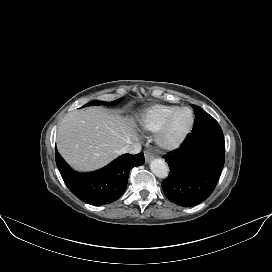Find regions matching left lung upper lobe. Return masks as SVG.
<instances>
[{"instance_id":"5c2ea615","label":"left lung upper lobe","mask_w":272,"mask_h":272,"mask_svg":"<svg viewBox=\"0 0 272 272\" xmlns=\"http://www.w3.org/2000/svg\"><path fill=\"white\" fill-rule=\"evenodd\" d=\"M191 106L193 107L195 115H196L192 132L199 131L205 128L206 126H209L210 124L216 122V120L212 116H210L207 112H205L200 107L196 105H191Z\"/></svg>"}]
</instances>
